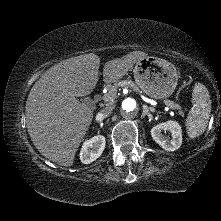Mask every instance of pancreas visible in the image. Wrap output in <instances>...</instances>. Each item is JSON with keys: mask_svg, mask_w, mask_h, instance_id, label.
Listing matches in <instances>:
<instances>
[{"mask_svg": "<svg viewBox=\"0 0 221 221\" xmlns=\"http://www.w3.org/2000/svg\"><path fill=\"white\" fill-rule=\"evenodd\" d=\"M130 87L134 88L133 84H129ZM116 87L114 86H109L108 87V92L106 94H104L103 98L105 101L109 102L110 104L114 103V99H115V95H116ZM167 102H169L173 109H179L180 110V106L172 101L166 100ZM180 113H182V111H180Z\"/></svg>", "mask_w": 221, "mask_h": 221, "instance_id": "cf45deb5", "label": "pancreas"}]
</instances>
